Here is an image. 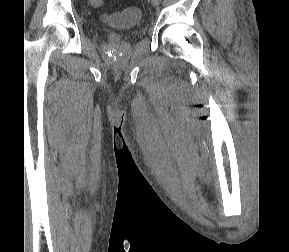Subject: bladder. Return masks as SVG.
<instances>
[{
	"label": "bladder",
	"instance_id": "31cf9c89",
	"mask_svg": "<svg viewBox=\"0 0 289 252\" xmlns=\"http://www.w3.org/2000/svg\"><path fill=\"white\" fill-rule=\"evenodd\" d=\"M124 35L120 34V33H110L109 34V39H111L112 41H120L122 39H124Z\"/></svg>",
	"mask_w": 289,
	"mask_h": 252
}]
</instances>
